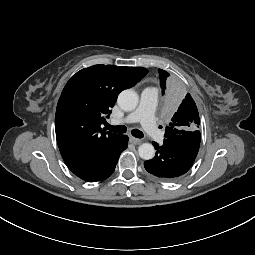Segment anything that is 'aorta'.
<instances>
[{
	"instance_id": "762f6f07",
	"label": "aorta",
	"mask_w": 255,
	"mask_h": 255,
	"mask_svg": "<svg viewBox=\"0 0 255 255\" xmlns=\"http://www.w3.org/2000/svg\"><path fill=\"white\" fill-rule=\"evenodd\" d=\"M139 102L138 94L133 89H125L118 96V105L125 111L134 110ZM139 156L144 160H150L155 156L154 146L143 143L138 148Z\"/></svg>"
}]
</instances>
